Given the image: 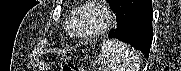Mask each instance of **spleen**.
Masks as SVG:
<instances>
[{"label":"spleen","mask_w":181,"mask_h":71,"mask_svg":"<svg viewBox=\"0 0 181 71\" xmlns=\"http://www.w3.org/2000/svg\"><path fill=\"white\" fill-rule=\"evenodd\" d=\"M101 71H139V56L127 44L104 40L98 55Z\"/></svg>","instance_id":"3e777b00"}]
</instances>
